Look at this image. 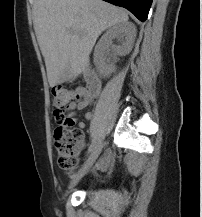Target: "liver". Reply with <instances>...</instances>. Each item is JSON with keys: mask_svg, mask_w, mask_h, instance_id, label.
Segmentation results:
<instances>
[{"mask_svg": "<svg viewBox=\"0 0 202 217\" xmlns=\"http://www.w3.org/2000/svg\"><path fill=\"white\" fill-rule=\"evenodd\" d=\"M33 15L51 87L65 76L68 67L67 80L84 73L99 35L128 21L123 9L102 0H35Z\"/></svg>", "mask_w": 202, "mask_h": 217, "instance_id": "6515ba94", "label": "liver"}]
</instances>
